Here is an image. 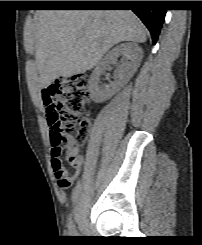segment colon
Returning a JSON list of instances; mask_svg holds the SVG:
<instances>
[{
    "label": "colon",
    "instance_id": "1",
    "mask_svg": "<svg viewBox=\"0 0 202 245\" xmlns=\"http://www.w3.org/2000/svg\"><path fill=\"white\" fill-rule=\"evenodd\" d=\"M57 99L50 121V144L60 147L65 134L76 137L75 145H81L86 140L90 123L86 117L87 102L90 99L89 81L87 76L59 78L56 84ZM75 163V158H70Z\"/></svg>",
    "mask_w": 202,
    "mask_h": 245
}]
</instances>
